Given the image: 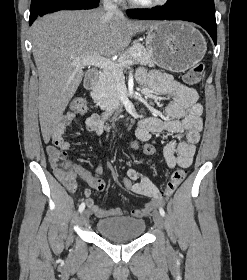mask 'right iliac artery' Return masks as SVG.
I'll list each match as a JSON object with an SVG mask.
<instances>
[{"label": "right iliac artery", "instance_id": "right-iliac-artery-1", "mask_svg": "<svg viewBox=\"0 0 247 280\" xmlns=\"http://www.w3.org/2000/svg\"><path fill=\"white\" fill-rule=\"evenodd\" d=\"M85 209V203H81L80 206H79V212H83V210Z\"/></svg>", "mask_w": 247, "mask_h": 280}]
</instances>
